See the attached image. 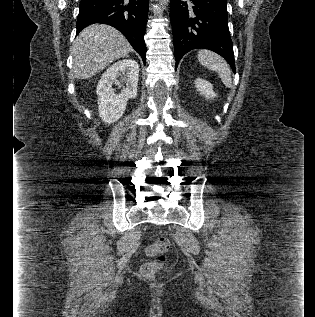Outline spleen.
I'll list each match as a JSON object with an SVG mask.
<instances>
[{
	"label": "spleen",
	"instance_id": "1",
	"mask_svg": "<svg viewBox=\"0 0 315 317\" xmlns=\"http://www.w3.org/2000/svg\"><path fill=\"white\" fill-rule=\"evenodd\" d=\"M198 60L204 67L216 71L226 87H231V70L222 57L212 51L200 50Z\"/></svg>",
	"mask_w": 315,
	"mask_h": 317
}]
</instances>
